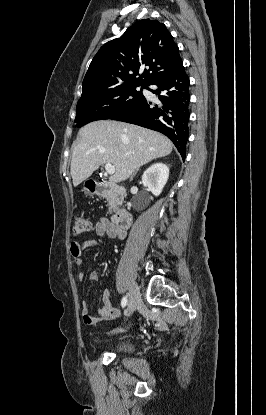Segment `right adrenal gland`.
Wrapping results in <instances>:
<instances>
[{"label": "right adrenal gland", "mask_w": 266, "mask_h": 415, "mask_svg": "<svg viewBox=\"0 0 266 415\" xmlns=\"http://www.w3.org/2000/svg\"><path fill=\"white\" fill-rule=\"evenodd\" d=\"M139 171V168H137L134 172H133V174L131 175V177H130V180H132L133 179V177L136 175V173Z\"/></svg>", "instance_id": "1"}]
</instances>
